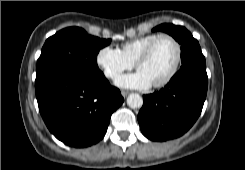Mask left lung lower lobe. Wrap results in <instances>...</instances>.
Instances as JSON below:
<instances>
[{
  "label": "left lung lower lobe",
  "mask_w": 245,
  "mask_h": 170,
  "mask_svg": "<svg viewBox=\"0 0 245 170\" xmlns=\"http://www.w3.org/2000/svg\"><path fill=\"white\" fill-rule=\"evenodd\" d=\"M206 68L183 66L159 92L143 96L142 133L153 141L182 136L198 119L207 94Z\"/></svg>",
  "instance_id": "1"
}]
</instances>
